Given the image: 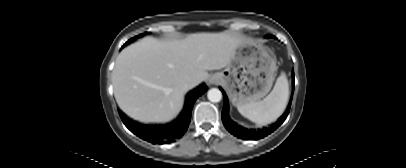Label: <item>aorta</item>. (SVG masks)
Masks as SVG:
<instances>
[{"mask_svg": "<svg viewBox=\"0 0 406 168\" xmlns=\"http://www.w3.org/2000/svg\"><path fill=\"white\" fill-rule=\"evenodd\" d=\"M207 97L211 102L217 103L220 102L222 99V93L217 88H212L208 91Z\"/></svg>", "mask_w": 406, "mask_h": 168, "instance_id": "aorta-1", "label": "aorta"}]
</instances>
